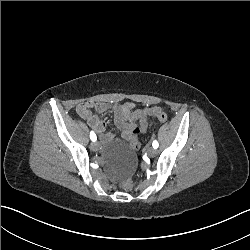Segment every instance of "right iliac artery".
<instances>
[{"label":"right iliac artery","mask_w":250,"mask_h":250,"mask_svg":"<svg viewBox=\"0 0 250 250\" xmlns=\"http://www.w3.org/2000/svg\"><path fill=\"white\" fill-rule=\"evenodd\" d=\"M90 139L92 141H96L97 140L96 134L93 131L90 132Z\"/></svg>","instance_id":"obj_1"}]
</instances>
